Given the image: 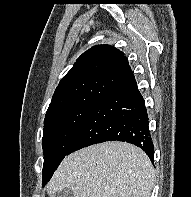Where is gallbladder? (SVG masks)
<instances>
[{
	"mask_svg": "<svg viewBox=\"0 0 191 197\" xmlns=\"http://www.w3.org/2000/svg\"><path fill=\"white\" fill-rule=\"evenodd\" d=\"M53 197H74V193L69 188H64L59 191H57Z\"/></svg>",
	"mask_w": 191,
	"mask_h": 197,
	"instance_id": "obj_1",
	"label": "gallbladder"
}]
</instances>
